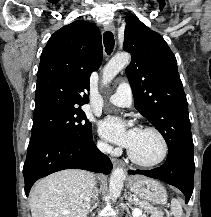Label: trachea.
<instances>
[{
  "instance_id": "trachea-1",
  "label": "trachea",
  "mask_w": 211,
  "mask_h": 217,
  "mask_svg": "<svg viewBox=\"0 0 211 217\" xmlns=\"http://www.w3.org/2000/svg\"><path fill=\"white\" fill-rule=\"evenodd\" d=\"M103 43L107 54H111L114 49V36L112 32L106 31L103 35Z\"/></svg>"
}]
</instances>
